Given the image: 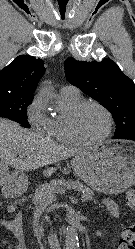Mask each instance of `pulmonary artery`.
<instances>
[{
    "mask_svg": "<svg viewBox=\"0 0 135 249\" xmlns=\"http://www.w3.org/2000/svg\"><path fill=\"white\" fill-rule=\"evenodd\" d=\"M60 95L65 97L78 98L80 97V91L73 85H65L61 87Z\"/></svg>",
    "mask_w": 135,
    "mask_h": 249,
    "instance_id": "e3ab8cb5",
    "label": "pulmonary artery"
}]
</instances>
